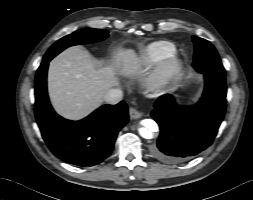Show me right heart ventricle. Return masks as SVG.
Wrapping results in <instances>:
<instances>
[{
	"label": "right heart ventricle",
	"mask_w": 253,
	"mask_h": 200,
	"mask_svg": "<svg viewBox=\"0 0 253 200\" xmlns=\"http://www.w3.org/2000/svg\"><path fill=\"white\" fill-rule=\"evenodd\" d=\"M176 47L168 41H155L144 46L138 54V62L143 66H151L158 63L164 57L175 53Z\"/></svg>",
	"instance_id": "e07e8e85"
}]
</instances>
